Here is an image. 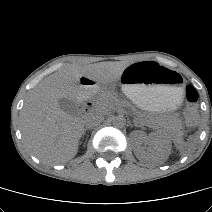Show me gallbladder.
<instances>
[{"label":"gallbladder","instance_id":"obj_1","mask_svg":"<svg viewBox=\"0 0 212 212\" xmlns=\"http://www.w3.org/2000/svg\"><path fill=\"white\" fill-rule=\"evenodd\" d=\"M59 107L66 113L73 115L76 112V102L71 99L61 98L58 100Z\"/></svg>","mask_w":212,"mask_h":212}]
</instances>
